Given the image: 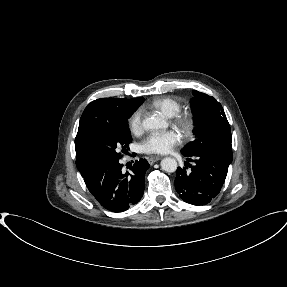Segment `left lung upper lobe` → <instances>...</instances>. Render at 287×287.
I'll return each mask as SVG.
<instances>
[{
	"mask_svg": "<svg viewBox=\"0 0 287 287\" xmlns=\"http://www.w3.org/2000/svg\"><path fill=\"white\" fill-rule=\"evenodd\" d=\"M191 109L194 118V140L181 153L191 156L219 144H231L230 125L222 105L213 97L193 90Z\"/></svg>",
	"mask_w": 287,
	"mask_h": 287,
	"instance_id": "obj_1",
	"label": "left lung upper lobe"
}]
</instances>
